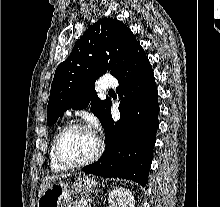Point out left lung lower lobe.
<instances>
[{
    "mask_svg": "<svg viewBox=\"0 0 220 207\" xmlns=\"http://www.w3.org/2000/svg\"><path fill=\"white\" fill-rule=\"evenodd\" d=\"M121 97L120 120L114 123L111 104L102 123L107 145L102 157L83 171L107 178L147 184L156 142L158 92L150 62L138 44L116 76Z\"/></svg>",
    "mask_w": 220,
    "mask_h": 207,
    "instance_id": "left-lung-lower-lobe-1",
    "label": "left lung lower lobe"
}]
</instances>
